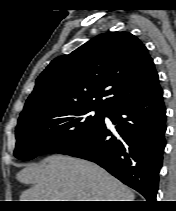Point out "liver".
<instances>
[{
  "instance_id": "liver-1",
  "label": "liver",
  "mask_w": 176,
  "mask_h": 211,
  "mask_svg": "<svg viewBox=\"0 0 176 211\" xmlns=\"http://www.w3.org/2000/svg\"><path fill=\"white\" fill-rule=\"evenodd\" d=\"M16 179L30 188L20 201H134L126 185L97 164L54 154L20 170Z\"/></svg>"
}]
</instances>
